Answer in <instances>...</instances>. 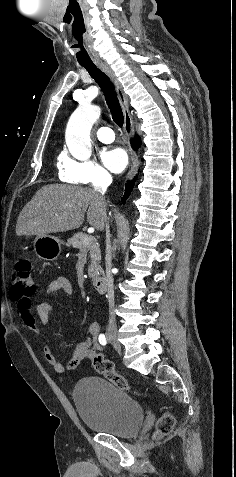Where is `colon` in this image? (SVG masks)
I'll return each mask as SVG.
<instances>
[{"mask_svg":"<svg viewBox=\"0 0 236 477\" xmlns=\"http://www.w3.org/2000/svg\"><path fill=\"white\" fill-rule=\"evenodd\" d=\"M35 283L32 278V265L27 259L19 260L12 273V285L10 288V297L18 303V309L24 310L31 308L32 298L35 294ZM95 370L103 374L112 384L123 390H130L129 382L114 370L110 360L97 355L91 359ZM174 427V418L171 415H165L161 418L158 425L159 436H165L171 433Z\"/></svg>","mask_w":236,"mask_h":477,"instance_id":"colon-1","label":"colon"}]
</instances>
